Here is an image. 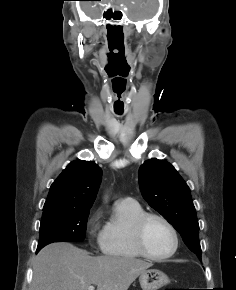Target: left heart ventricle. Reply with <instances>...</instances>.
Masks as SVG:
<instances>
[{
    "mask_svg": "<svg viewBox=\"0 0 236 290\" xmlns=\"http://www.w3.org/2000/svg\"><path fill=\"white\" fill-rule=\"evenodd\" d=\"M145 244L150 253L165 255L173 248V237L164 223L151 219L145 227Z\"/></svg>",
    "mask_w": 236,
    "mask_h": 290,
    "instance_id": "1",
    "label": "left heart ventricle"
}]
</instances>
